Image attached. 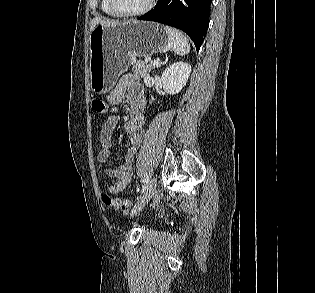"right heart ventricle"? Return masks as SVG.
I'll use <instances>...</instances> for the list:
<instances>
[{
  "instance_id": "obj_1",
  "label": "right heart ventricle",
  "mask_w": 315,
  "mask_h": 293,
  "mask_svg": "<svg viewBox=\"0 0 315 293\" xmlns=\"http://www.w3.org/2000/svg\"><path fill=\"white\" fill-rule=\"evenodd\" d=\"M101 10L105 15L109 17L113 18L120 17L111 10L108 0H101Z\"/></svg>"
}]
</instances>
